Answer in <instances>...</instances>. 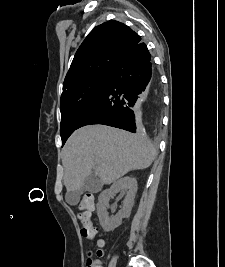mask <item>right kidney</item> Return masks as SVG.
I'll return each mask as SVG.
<instances>
[{
    "label": "right kidney",
    "mask_w": 225,
    "mask_h": 267,
    "mask_svg": "<svg viewBox=\"0 0 225 267\" xmlns=\"http://www.w3.org/2000/svg\"><path fill=\"white\" fill-rule=\"evenodd\" d=\"M119 191L126 193L121 210L113 217H109L107 208L109 200ZM137 192V181L131 176L123 177L104 190L98 198L97 215L104 231H113L122 223L123 218H128L134 204L135 194Z\"/></svg>",
    "instance_id": "ca27d5eb"
}]
</instances>
